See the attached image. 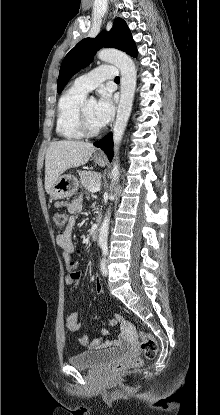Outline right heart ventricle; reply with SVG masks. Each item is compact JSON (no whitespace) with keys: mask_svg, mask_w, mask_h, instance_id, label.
<instances>
[{"mask_svg":"<svg viewBox=\"0 0 220 415\" xmlns=\"http://www.w3.org/2000/svg\"><path fill=\"white\" fill-rule=\"evenodd\" d=\"M86 93L73 86L67 89L59 98L57 104L56 133L68 140L83 138L76 126V113Z\"/></svg>","mask_w":220,"mask_h":415,"instance_id":"e07e8e85","label":"right heart ventricle"}]
</instances>
